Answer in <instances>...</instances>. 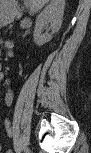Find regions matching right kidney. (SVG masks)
<instances>
[{
    "label": "right kidney",
    "mask_w": 91,
    "mask_h": 153,
    "mask_svg": "<svg viewBox=\"0 0 91 153\" xmlns=\"http://www.w3.org/2000/svg\"><path fill=\"white\" fill-rule=\"evenodd\" d=\"M64 7V0H52L37 16L34 30V42L36 45L42 46L49 42L53 34L59 31L63 21ZM48 24H50L51 34H42L43 29Z\"/></svg>",
    "instance_id": "obj_1"
}]
</instances>
